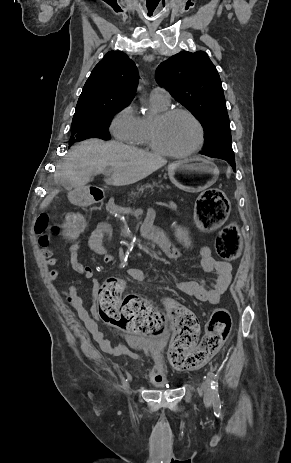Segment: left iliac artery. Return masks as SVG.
Listing matches in <instances>:
<instances>
[{
	"label": "left iliac artery",
	"mask_w": 291,
	"mask_h": 463,
	"mask_svg": "<svg viewBox=\"0 0 291 463\" xmlns=\"http://www.w3.org/2000/svg\"><path fill=\"white\" fill-rule=\"evenodd\" d=\"M209 379L211 381V388L213 390V398L215 404H220L219 392H218V376L212 371L208 372Z\"/></svg>",
	"instance_id": "1"
}]
</instances>
